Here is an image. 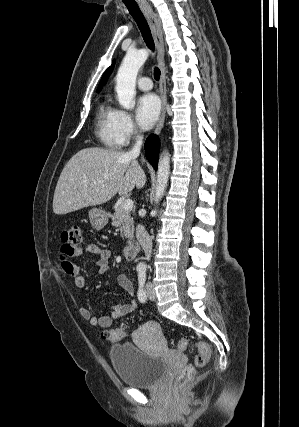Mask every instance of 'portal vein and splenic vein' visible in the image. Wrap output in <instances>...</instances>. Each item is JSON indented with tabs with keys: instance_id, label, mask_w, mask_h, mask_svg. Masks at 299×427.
<instances>
[{
	"instance_id": "obj_1",
	"label": "portal vein and splenic vein",
	"mask_w": 299,
	"mask_h": 427,
	"mask_svg": "<svg viewBox=\"0 0 299 427\" xmlns=\"http://www.w3.org/2000/svg\"><path fill=\"white\" fill-rule=\"evenodd\" d=\"M121 205L124 210H131L133 207V202L132 200L127 199V200H124Z\"/></svg>"
}]
</instances>
